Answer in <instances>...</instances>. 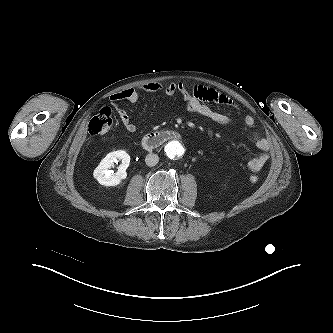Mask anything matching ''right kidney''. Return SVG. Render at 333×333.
I'll return each instance as SVG.
<instances>
[{"mask_svg":"<svg viewBox=\"0 0 333 333\" xmlns=\"http://www.w3.org/2000/svg\"><path fill=\"white\" fill-rule=\"evenodd\" d=\"M121 161V165L118 168V171L114 173L112 170H109L113 166L114 162ZM130 163V156L124 150H117L111 152L104 157L100 164L94 170L95 179L105 186H117L122 183L127 177L126 169Z\"/></svg>","mask_w":333,"mask_h":333,"instance_id":"right-kidney-1","label":"right kidney"}]
</instances>
